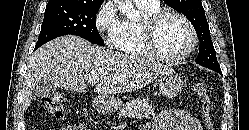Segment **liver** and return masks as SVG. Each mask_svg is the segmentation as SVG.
Here are the masks:
<instances>
[{"label": "liver", "mask_w": 249, "mask_h": 130, "mask_svg": "<svg viewBox=\"0 0 249 130\" xmlns=\"http://www.w3.org/2000/svg\"><path fill=\"white\" fill-rule=\"evenodd\" d=\"M173 70L151 59L120 54L78 36H63L39 48L24 77L22 108L27 110L39 81L84 92L85 81L96 79L94 92L104 96L141 89Z\"/></svg>", "instance_id": "1"}]
</instances>
